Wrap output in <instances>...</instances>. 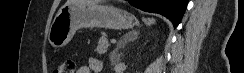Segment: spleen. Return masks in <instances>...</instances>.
Masks as SVG:
<instances>
[{"label": "spleen", "mask_w": 244, "mask_h": 73, "mask_svg": "<svg viewBox=\"0 0 244 73\" xmlns=\"http://www.w3.org/2000/svg\"><path fill=\"white\" fill-rule=\"evenodd\" d=\"M143 21L147 26H150L155 23V19L153 18H148V19L143 18Z\"/></svg>", "instance_id": "1"}]
</instances>
